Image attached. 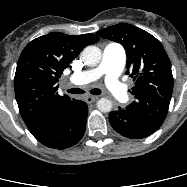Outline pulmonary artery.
<instances>
[{"instance_id": "obj_1", "label": "pulmonary artery", "mask_w": 187, "mask_h": 187, "mask_svg": "<svg viewBox=\"0 0 187 187\" xmlns=\"http://www.w3.org/2000/svg\"><path fill=\"white\" fill-rule=\"evenodd\" d=\"M125 61L124 48L120 44L110 43L105 47L101 63L96 68L73 74L70 82L75 85H85L104 77L105 85L110 92L118 100L125 101L128 98L127 91L119 81Z\"/></svg>"}]
</instances>
